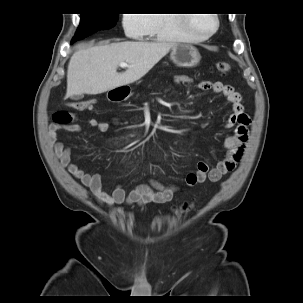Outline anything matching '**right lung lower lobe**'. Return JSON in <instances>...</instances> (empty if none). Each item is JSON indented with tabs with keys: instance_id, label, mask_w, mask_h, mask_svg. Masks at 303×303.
Instances as JSON below:
<instances>
[{
	"instance_id": "right-lung-lower-lobe-1",
	"label": "right lung lower lobe",
	"mask_w": 303,
	"mask_h": 303,
	"mask_svg": "<svg viewBox=\"0 0 303 303\" xmlns=\"http://www.w3.org/2000/svg\"><path fill=\"white\" fill-rule=\"evenodd\" d=\"M74 42H75L74 40L71 41V43H74Z\"/></svg>"
}]
</instances>
